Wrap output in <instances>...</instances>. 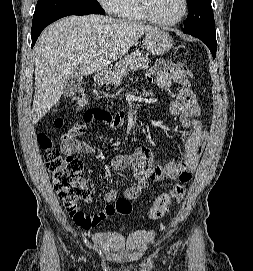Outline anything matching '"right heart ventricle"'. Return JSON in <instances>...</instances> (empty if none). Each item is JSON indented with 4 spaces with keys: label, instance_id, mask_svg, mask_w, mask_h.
<instances>
[{
    "label": "right heart ventricle",
    "instance_id": "1",
    "mask_svg": "<svg viewBox=\"0 0 253 271\" xmlns=\"http://www.w3.org/2000/svg\"><path fill=\"white\" fill-rule=\"evenodd\" d=\"M117 14L124 19L132 21L144 22L148 20L141 10L139 0H122Z\"/></svg>",
    "mask_w": 253,
    "mask_h": 271
}]
</instances>
